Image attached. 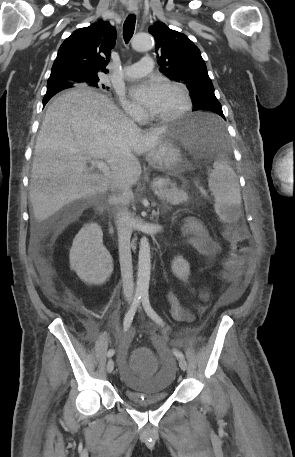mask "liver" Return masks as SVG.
Masks as SVG:
<instances>
[{
    "label": "liver",
    "mask_w": 295,
    "mask_h": 457,
    "mask_svg": "<svg viewBox=\"0 0 295 457\" xmlns=\"http://www.w3.org/2000/svg\"><path fill=\"white\" fill-rule=\"evenodd\" d=\"M167 126L142 130L105 95L78 88L48 106L37 137L29 198L42 222L65 205L108 189L125 191L141 175L136 155L155 148ZM87 158L105 160L110 175L92 173Z\"/></svg>",
    "instance_id": "6515ba94"
}]
</instances>
